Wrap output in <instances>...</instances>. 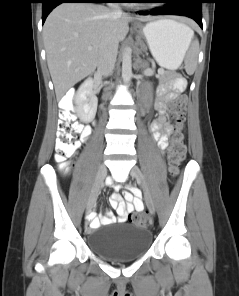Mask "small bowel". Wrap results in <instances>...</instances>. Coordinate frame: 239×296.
Returning <instances> with one entry per match:
<instances>
[{
    "label": "small bowel",
    "mask_w": 239,
    "mask_h": 296,
    "mask_svg": "<svg viewBox=\"0 0 239 296\" xmlns=\"http://www.w3.org/2000/svg\"><path fill=\"white\" fill-rule=\"evenodd\" d=\"M185 87V81L177 80L173 84H162L157 89V97L155 101V109L157 116L150 124V132L152 139L157 143L159 149L164 151L168 146V138L172 131L171 124L167 121V104L176 100ZM91 133V128L86 125L81 130V140L84 142L88 139ZM123 201L118 192H114L111 196L110 206L116 210L119 221H127L134 211H141L144 209V203L141 198V191L136 187L129 185L128 189L123 192ZM90 230L99 227L101 224H110L116 221L113 214L97 216L91 213L89 216Z\"/></svg>",
    "instance_id": "obj_1"
}]
</instances>
